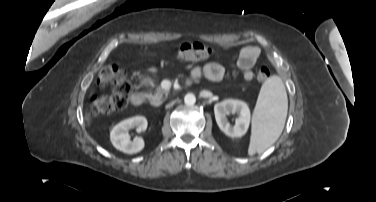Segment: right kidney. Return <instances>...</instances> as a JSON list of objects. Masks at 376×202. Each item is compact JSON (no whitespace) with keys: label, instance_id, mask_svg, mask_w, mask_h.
Segmentation results:
<instances>
[{"label":"right kidney","instance_id":"ca27d5eb","mask_svg":"<svg viewBox=\"0 0 376 202\" xmlns=\"http://www.w3.org/2000/svg\"><path fill=\"white\" fill-rule=\"evenodd\" d=\"M135 128L138 132L145 131L147 119L143 116H135L125 119L115 125L110 132V140L113 146L127 154H135L144 148V140L140 137L130 140L129 130Z\"/></svg>","mask_w":376,"mask_h":202}]
</instances>
